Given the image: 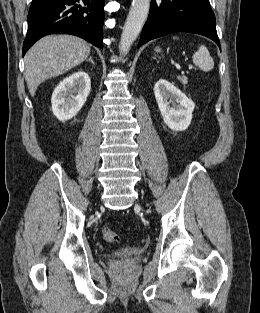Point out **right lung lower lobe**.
<instances>
[{"label":"right lung lower lobe","instance_id":"right-lung-lower-lobe-1","mask_svg":"<svg viewBox=\"0 0 260 313\" xmlns=\"http://www.w3.org/2000/svg\"><path fill=\"white\" fill-rule=\"evenodd\" d=\"M104 0H33L23 55L48 34H72L103 48Z\"/></svg>","mask_w":260,"mask_h":313}]
</instances>
